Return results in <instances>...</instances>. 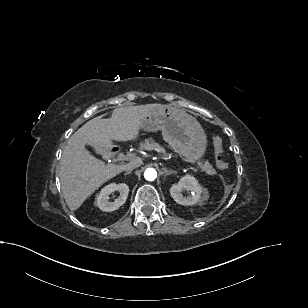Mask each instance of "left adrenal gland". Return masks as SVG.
I'll list each match as a JSON object with an SVG mask.
<instances>
[{"label":"left adrenal gland","mask_w":308,"mask_h":308,"mask_svg":"<svg viewBox=\"0 0 308 308\" xmlns=\"http://www.w3.org/2000/svg\"><path fill=\"white\" fill-rule=\"evenodd\" d=\"M163 170H164V176L165 177L170 175V174H176V171H174V170H168L167 168H163Z\"/></svg>","instance_id":"a2214340"}]
</instances>
